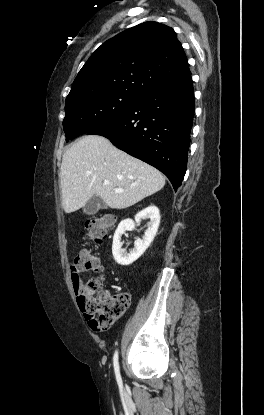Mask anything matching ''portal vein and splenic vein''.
<instances>
[{
  "label": "portal vein and splenic vein",
  "instance_id": "18ae733b",
  "mask_svg": "<svg viewBox=\"0 0 264 415\" xmlns=\"http://www.w3.org/2000/svg\"><path fill=\"white\" fill-rule=\"evenodd\" d=\"M109 184V182L108 181H104V185L106 186V185H108ZM115 192L116 193H121V192H123V190L122 189H120V188H116L115 189Z\"/></svg>",
  "mask_w": 264,
  "mask_h": 415
}]
</instances>
